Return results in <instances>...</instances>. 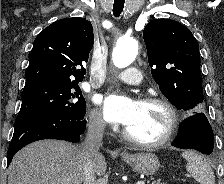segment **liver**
Wrapping results in <instances>:
<instances>
[{
	"mask_svg": "<svg viewBox=\"0 0 224 184\" xmlns=\"http://www.w3.org/2000/svg\"><path fill=\"white\" fill-rule=\"evenodd\" d=\"M95 174L107 169L105 157L93 159ZM84 171L79 145L41 140L20 150L8 168V184H83Z\"/></svg>",
	"mask_w": 224,
	"mask_h": 184,
	"instance_id": "1",
	"label": "liver"
}]
</instances>
